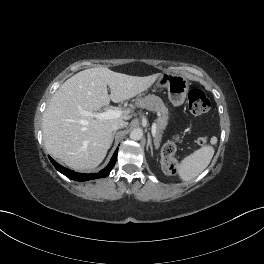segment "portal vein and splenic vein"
<instances>
[{"label": "portal vein and splenic vein", "mask_w": 264, "mask_h": 264, "mask_svg": "<svg viewBox=\"0 0 264 264\" xmlns=\"http://www.w3.org/2000/svg\"><path fill=\"white\" fill-rule=\"evenodd\" d=\"M81 113L85 116H93V113L90 111H82ZM121 115H122V112L120 110L108 109L106 112L95 114V117L101 120H105V119L119 118ZM156 130H157V125L156 123H154L152 125V135L153 136H155Z\"/></svg>", "instance_id": "18ae733b"}]
</instances>
